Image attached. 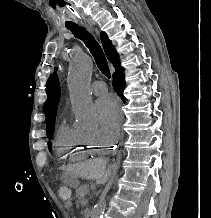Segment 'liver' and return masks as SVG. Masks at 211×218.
<instances>
[{"mask_svg": "<svg viewBox=\"0 0 211 218\" xmlns=\"http://www.w3.org/2000/svg\"><path fill=\"white\" fill-rule=\"evenodd\" d=\"M105 160L96 158V160H88L83 166H81L79 172L89 178V180H96L97 184H105L108 174H106Z\"/></svg>", "mask_w": 211, "mask_h": 218, "instance_id": "obj_1", "label": "liver"}]
</instances>
